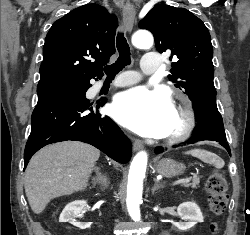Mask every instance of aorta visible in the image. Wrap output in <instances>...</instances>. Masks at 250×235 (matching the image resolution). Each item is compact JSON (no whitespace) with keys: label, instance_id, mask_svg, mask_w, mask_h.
<instances>
[{"label":"aorta","instance_id":"aorta-1","mask_svg":"<svg viewBox=\"0 0 250 235\" xmlns=\"http://www.w3.org/2000/svg\"><path fill=\"white\" fill-rule=\"evenodd\" d=\"M153 42L152 34L145 30L137 31L132 37L133 45L141 49H149ZM147 161V153L141 151L135 155L129 169L126 203L129 215L134 221L141 219L139 206L142 201L143 179Z\"/></svg>","mask_w":250,"mask_h":235}]
</instances>
